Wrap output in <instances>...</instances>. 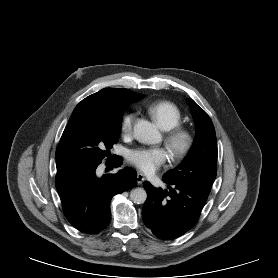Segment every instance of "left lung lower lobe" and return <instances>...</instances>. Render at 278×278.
Instances as JSON below:
<instances>
[{
  "instance_id": "1",
  "label": "left lung lower lobe",
  "mask_w": 278,
  "mask_h": 278,
  "mask_svg": "<svg viewBox=\"0 0 278 278\" xmlns=\"http://www.w3.org/2000/svg\"><path fill=\"white\" fill-rule=\"evenodd\" d=\"M167 190L155 188L145 181L147 192L142 216L152 233L165 240L177 238L193 227L209 196L210 190L174 183L165 178Z\"/></svg>"
}]
</instances>
